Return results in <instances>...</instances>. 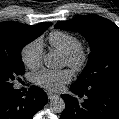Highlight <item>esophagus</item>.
<instances>
[{
	"instance_id": "34e87169",
	"label": "esophagus",
	"mask_w": 119,
	"mask_h": 119,
	"mask_svg": "<svg viewBox=\"0 0 119 119\" xmlns=\"http://www.w3.org/2000/svg\"><path fill=\"white\" fill-rule=\"evenodd\" d=\"M47 96H48V99H53L55 97H58V95L54 94V93H51V92H48L47 93Z\"/></svg>"
}]
</instances>
